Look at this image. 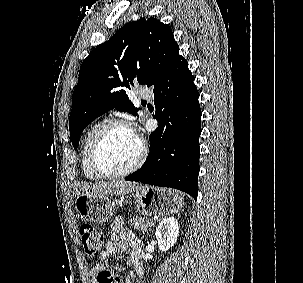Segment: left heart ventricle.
<instances>
[{
	"mask_svg": "<svg viewBox=\"0 0 303 283\" xmlns=\"http://www.w3.org/2000/svg\"><path fill=\"white\" fill-rule=\"evenodd\" d=\"M139 149V139L132 130L115 126L108 130L101 143L100 162L108 171H121L133 164Z\"/></svg>",
	"mask_w": 303,
	"mask_h": 283,
	"instance_id": "left-heart-ventricle-1",
	"label": "left heart ventricle"
}]
</instances>
